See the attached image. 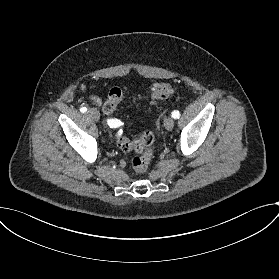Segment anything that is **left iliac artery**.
Returning a JSON list of instances; mask_svg holds the SVG:
<instances>
[{
  "instance_id": "1",
  "label": "left iliac artery",
  "mask_w": 279,
  "mask_h": 279,
  "mask_svg": "<svg viewBox=\"0 0 279 279\" xmlns=\"http://www.w3.org/2000/svg\"><path fill=\"white\" fill-rule=\"evenodd\" d=\"M171 116H172V118H174V119H179L180 113H179V111H176V110H175V111L172 112Z\"/></svg>"
}]
</instances>
